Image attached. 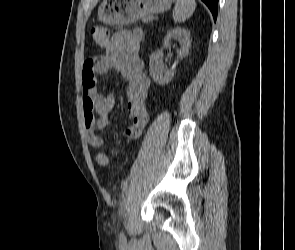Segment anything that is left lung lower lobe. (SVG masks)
I'll return each instance as SVG.
<instances>
[{
    "label": "left lung lower lobe",
    "mask_w": 295,
    "mask_h": 250,
    "mask_svg": "<svg viewBox=\"0 0 295 250\" xmlns=\"http://www.w3.org/2000/svg\"><path fill=\"white\" fill-rule=\"evenodd\" d=\"M202 2L207 5L213 15L214 20H216L218 0H202Z\"/></svg>",
    "instance_id": "left-lung-lower-lobe-1"
}]
</instances>
